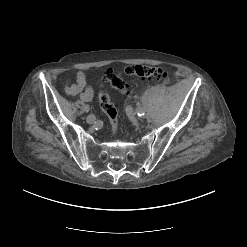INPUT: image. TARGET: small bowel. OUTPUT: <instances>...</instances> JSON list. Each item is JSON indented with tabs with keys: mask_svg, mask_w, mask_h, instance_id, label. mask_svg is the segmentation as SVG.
<instances>
[{
	"mask_svg": "<svg viewBox=\"0 0 247 247\" xmlns=\"http://www.w3.org/2000/svg\"><path fill=\"white\" fill-rule=\"evenodd\" d=\"M65 91L70 95L81 94V99L83 101H89L93 97V90L87 85L84 72H78L76 75V82L73 84H66Z\"/></svg>",
	"mask_w": 247,
	"mask_h": 247,
	"instance_id": "c3829d8e",
	"label": "small bowel"
}]
</instances>
